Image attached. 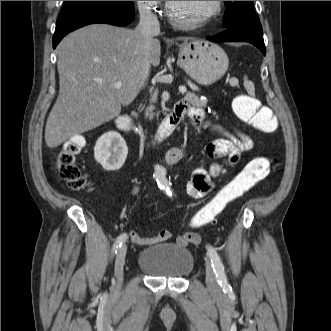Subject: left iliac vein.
<instances>
[{"mask_svg": "<svg viewBox=\"0 0 331 331\" xmlns=\"http://www.w3.org/2000/svg\"><path fill=\"white\" fill-rule=\"evenodd\" d=\"M206 283L210 290H217L219 287L215 272L208 259L206 260Z\"/></svg>", "mask_w": 331, "mask_h": 331, "instance_id": "obj_1", "label": "left iliac vein"}]
</instances>
